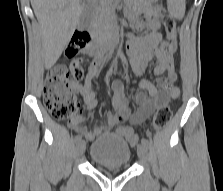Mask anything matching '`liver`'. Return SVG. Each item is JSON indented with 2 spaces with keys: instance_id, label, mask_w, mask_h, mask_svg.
Segmentation results:
<instances>
[{
  "instance_id": "1",
  "label": "liver",
  "mask_w": 223,
  "mask_h": 191,
  "mask_svg": "<svg viewBox=\"0 0 223 191\" xmlns=\"http://www.w3.org/2000/svg\"><path fill=\"white\" fill-rule=\"evenodd\" d=\"M42 32L45 68H51L61 56L79 22L83 0H31Z\"/></svg>"
}]
</instances>
